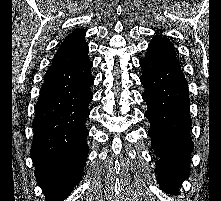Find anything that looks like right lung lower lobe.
<instances>
[{
    "label": "right lung lower lobe",
    "instance_id": "obj_1",
    "mask_svg": "<svg viewBox=\"0 0 221 201\" xmlns=\"http://www.w3.org/2000/svg\"><path fill=\"white\" fill-rule=\"evenodd\" d=\"M90 61L51 66L35 105L31 158L46 201H63L79 183L88 154L85 122L94 77Z\"/></svg>",
    "mask_w": 221,
    "mask_h": 201
}]
</instances>
